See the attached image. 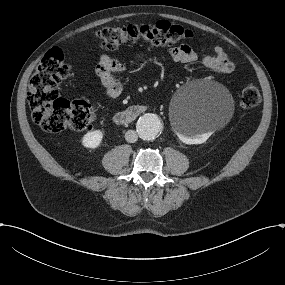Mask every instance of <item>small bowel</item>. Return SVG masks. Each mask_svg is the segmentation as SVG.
<instances>
[{
  "mask_svg": "<svg viewBox=\"0 0 285 285\" xmlns=\"http://www.w3.org/2000/svg\"><path fill=\"white\" fill-rule=\"evenodd\" d=\"M168 57L181 63H200L204 68L227 75L233 72L234 64L228 58L225 49L216 45L213 53L200 58L195 51L188 45L172 47L166 51ZM147 58L146 54H140L136 61H143ZM125 70L124 64L109 55H102L96 65V73L105 88V94L109 98H117L122 93V82L119 74Z\"/></svg>",
  "mask_w": 285,
  "mask_h": 285,
  "instance_id": "1",
  "label": "small bowel"
}]
</instances>
